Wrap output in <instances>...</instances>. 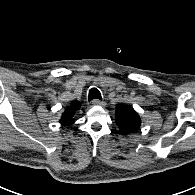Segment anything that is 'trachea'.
<instances>
[{
	"label": "trachea",
	"mask_w": 195,
	"mask_h": 195,
	"mask_svg": "<svg viewBox=\"0 0 195 195\" xmlns=\"http://www.w3.org/2000/svg\"><path fill=\"white\" fill-rule=\"evenodd\" d=\"M89 101L93 99H99L102 100L101 93L97 88H91L89 90V96H88Z\"/></svg>",
	"instance_id": "trachea-1"
}]
</instances>
